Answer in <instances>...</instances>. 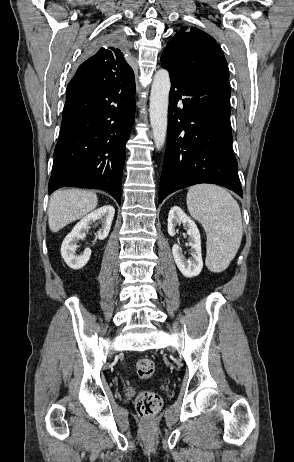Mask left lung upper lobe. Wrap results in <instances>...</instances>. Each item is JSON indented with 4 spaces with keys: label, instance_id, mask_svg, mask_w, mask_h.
Masks as SVG:
<instances>
[{
    "label": "left lung upper lobe",
    "instance_id": "1",
    "mask_svg": "<svg viewBox=\"0 0 294 462\" xmlns=\"http://www.w3.org/2000/svg\"><path fill=\"white\" fill-rule=\"evenodd\" d=\"M170 75L189 81H225L229 77L222 49L209 34L182 27L168 42L161 56Z\"/></svg>",
    "mask_w": 294,
    "mask_h": 462
}]
</instances>
